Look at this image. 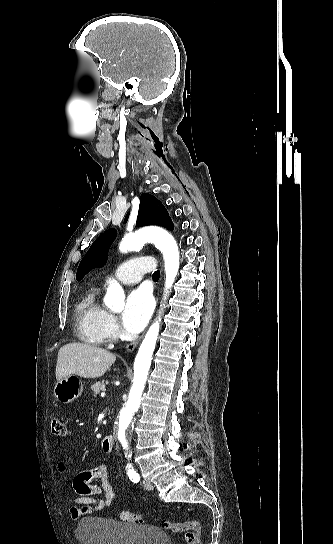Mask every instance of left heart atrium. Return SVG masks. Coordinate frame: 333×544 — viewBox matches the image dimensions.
<instances>
[{"label": "left heart atrium", "mask_w": 333, "mask_h": 544, "mask_svg": "<svg viewBox=\"0 0 333 544\" xmlns=\"http://www.w3.org/2000/svg\"><path fill=\"white\" fill-rule=\"evenodd\" d=\"M154 302L145 287L133 290L127 297L122 313V324L130 333L140 332L147 324L153 311Z\"/></svg>", "instance_id": "left-heart-atrium-1"}]
</instances>
